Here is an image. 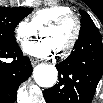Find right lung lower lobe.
Returning <instances> with one entry per match:
<instances>
[{
	"label": "right lung lower lobe",
	"instance_id": "right-lung-lower-lobe-1",
	"mask_svg": "<svg viewBox=\"0 0 103 103\" xmlns=\"http://www.w3.org/2000/svg\"><path fill=\"white\" fill-rule=\"evenodd\" d=\"M12 58L11 63L3 60ZM32 66L28 57L23 56L18 44H0V103H13L19 85L28 79Z\"/></svg>",
	"mask_w": 103,
	"mask_h": 103
}]
</instances>
